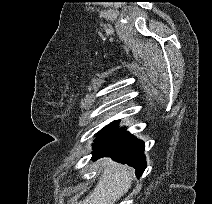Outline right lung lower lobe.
<instances>
[{
    "mask_svg": "<svg viewBox=\"0 0 212 204\" xmlns=\"http://www.w3.org/2000/svg\"><path fill=\"white\" fill-rule=\"evenodd\" d=\"M93 148L94 160L105 156L111 157L117 162L133 166L137 177H140L146 168L144 142L134 138L125 130Z\"/></svg>",
    "mask_w": 212,
    "mask_h": 204,
    "instance_id": "98d812e1",
    "label": "right lung lower lobe"
}]
</instances>
